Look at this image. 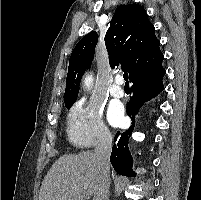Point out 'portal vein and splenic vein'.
Here are the masks:
<instances>
[{
	"label": "portal vein and splenic vein",
	"instance_id": "18ae733b",
	"mask_svg": "<svg viewBox=\"0 0 201 200\" xmlns=\"http://www.w3.org/2000/svg\"><path fill=\"white\" fill-rule=\"evenodd\" d=\"M86 196H91V194L88 191H85Z\"/></svg>",
	"mask_w": 201,
	"mask_h": 200
}]
</instances>
